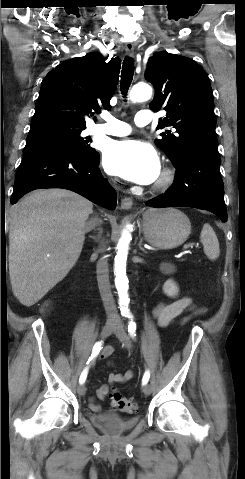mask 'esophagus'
<instances>
[{"label":"esophagus","mask_w":245,"mask_h":479,"mask_svg":"<svg viewBox=\"0 0 245 479\" xmlns=\"http://www.w3.org/2000/svg\"><path fill=\"white\" fill-rule=\"evenodd\" d=\"M125 51H126V54L128 56L134 57V45H133V43L127 42L125 44ZM132 205H133V201H132L131 198L125 196L121 199V208L122 209L128 210L132 207Z\"/></svg>","instance_id":"obj_1"}]
</instances>
